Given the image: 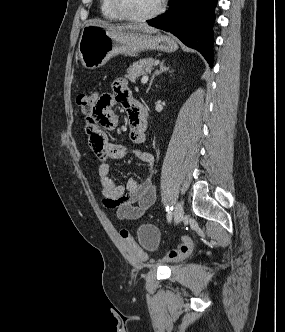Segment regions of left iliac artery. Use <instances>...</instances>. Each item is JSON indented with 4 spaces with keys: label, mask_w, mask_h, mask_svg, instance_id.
<instances>
[{
    "label": "left iliac artery",
    "mask_w": 285,
    "mask_h": 332,
    "mask_svg": "<svg viewBox=\"0 0 285 332\" xmlns=\"http://www.w3.org/2000/svg\"><path fill=\"white\" fill-rule=\"evenodd\" d=\"M172 211H173V206H167L166 212H167V220H168V222H170L171 219H172Z\"/></svg>",
    "instance_id": "obj_1"
}]
</instances>
